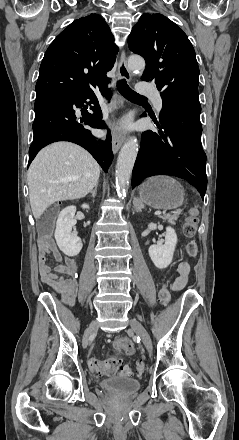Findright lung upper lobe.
Here are the masks:
<instances>
[{"mask_svg":"<svg viewBox=\"0 0 239 440\" xmlns=\"http://www.w3.org/2000/svg\"><path fill=\"white\" fill-rule=\"evenodd\" d=\"M118 47L105 20L91 14L75 20L45 52L36 95L87 91L107 82Z\"/></svg>","mask_w":239,"mask_h":440,"instance_id":"right-lung-upper-lobe-1","label":"right lung upper lobe"}]
</instances>
